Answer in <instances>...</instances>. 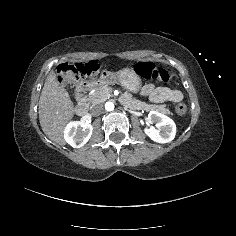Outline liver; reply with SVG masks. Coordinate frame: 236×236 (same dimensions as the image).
<instances>
[{
	"instance_id": "6515ba94",
	"label": "liver",
	"mask_w": 236,
	"mask_h": 236,
	"mask_svg": "<svg viewBox=\"0 0 236 236\" xmlns=\"http://www.w3.org/2000/svg\"><path fill=\"white\" fill-rule=\"evenodd\" d=\"M39 120L43 132L59 145H65L63 137L66 124L73 118L74 106L66 89L50 71L39 99Z\"/></svg>"
}]
</instances>
